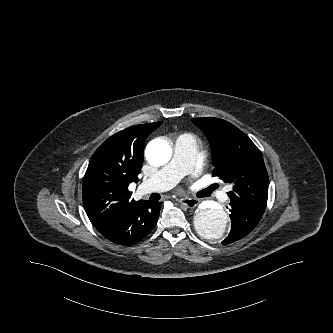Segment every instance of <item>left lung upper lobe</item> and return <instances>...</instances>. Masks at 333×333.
Segmentation results:
<instances>
[{"label": "left lung upper lobe", "instance_id": "left-lung-upper-lobe-1", "mask_svg": "<svg viewBox=\"0 0 333 333\" xmlns=\"http://www.w3.org/2000/svg\"><path fill=\"white\" fill-rule=\"evenodd\" d=\"M210 142L213 176L233 185L231 202L264 211L268 198V174L260 150L231 123L218 118H195Z\"/></svg>", "mask_w": 333, "mask_h": 333}]
</instances>
